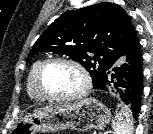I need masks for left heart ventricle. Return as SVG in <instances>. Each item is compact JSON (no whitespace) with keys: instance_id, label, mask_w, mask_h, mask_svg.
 Returning <instances> with one entry per match:
<instances>
[{"instance_id":"b2bd125f","label":"left heart ventricle","mask_w":153,"mask_h":134,"mask_svg":"<svg viewBox=\"0 0 153 134\" xmlns=\"http://www.w3.org/2000/svg\"><path fill=\"white\" fill-rule=\"evenodd\" d=\"M82 77L72 66L62 63L50 65L44 72L42 85L52 95L68 96L82 88Z\"/></svg>"}]
</instances>
